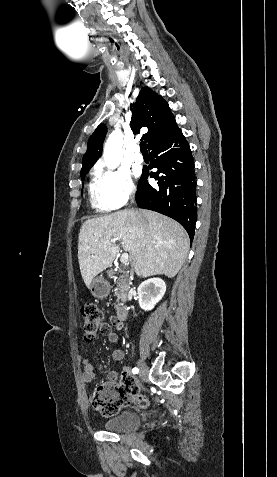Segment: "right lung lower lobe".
I'll return each instance as SVG.
<instances>
[{
  "label": "right lung lower lobe",
  "instance_id": "obj_1",
  "mask_svg": "<svg viewBox=\"0 0 277 477\" xmlns=\"http://www.w3.org/2000/svg\"><path fill=\"white\" fill-rule=\"evenodd\" d=\"M150 168L143 170L139 180L136 201L140 208L150 209L178 221L188 232L192 242L196 224V177L189 144L181 130L176 128L168 137L151 148ZM150 176L158 186L149 185Z\"/></svg>",
  "mask_w": 277,
  "mask_h": 477
}]
</instances>
